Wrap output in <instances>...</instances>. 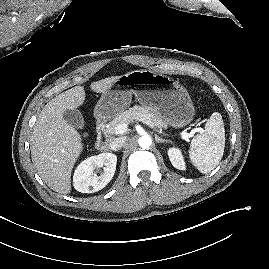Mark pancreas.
I'll return each mask as SVG.
<instances>
[{"label": "pancreas", "mask_w": 269, "mask_h": 269, "mask_svg": "<svg viewBox=\"0 0 269 269\" xmlns=\"http://www.w3.org/2000/svg\"><path fill=\"white\" fill-rule=\"evenodd\" d=\"M142 119L158 128H164L167 126L163 119L154 113L150 108L135 105L116 116L108 124L107 132L111 135L116 134L115 129L119 124H129L134 120L141 121Z\"/></svg>", "instance_id": "pancreas-1"}]
</instances>
